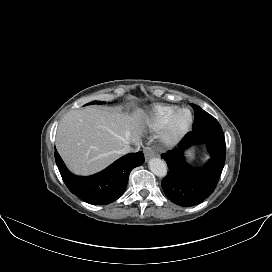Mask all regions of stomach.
Instances as JSON below:
<instances>
[{"label":"stomach","instance_id":"stomach-1","mask_svg":"<svg viewBox=\"0 0 272 272\" xmlns=\"http://www.w3.org/2000/svg\"><path fill=\"white\" fill-rule=\"evenodd\" d=\"M187 156L190 158V159H193V157H194V151L192 150V151H188L187 152Z\"/></svg>","mask_w":272,"mask_h":272}]
</instances>
